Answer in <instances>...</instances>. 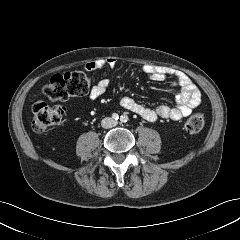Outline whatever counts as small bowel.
Masks as SVG:
<instances>
[{
  "label": "small bowel",
  "mask_w": 240,
  "mask_h": 240,
  "mask_svg": "<svg viewBox=\"0 0 240 240\" xmlns=\"http://www.w3.org/2000/svg\"><path fill=\"white\" fill-rule=\"evenodd\" d=\"M117 60L113 57L94 60L86 65L88 71H97L104 67L114 68ZM142 71L151 80L156 82L166 81L172 78L173 84L178 86L180 91L176 96L175 106L159 105L155 108L145 106L130 96H122L119 104L123 108L133 112L143 119L154 122L159 119L179 120L191 114L192 110L201 101V92L193 84L191 79L184 73L154 65H144ZM110 85L109 79L99 80L91 89L89 97L96 100L101 97Z\"/></svg>",
  "instance_id": "1"
}]
</instances>
